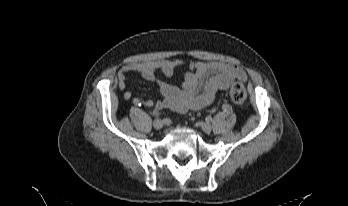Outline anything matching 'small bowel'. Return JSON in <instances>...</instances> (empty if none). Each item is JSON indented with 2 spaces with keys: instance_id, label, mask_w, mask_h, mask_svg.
I'll return each mask as SVG.
<instances>
[{
  "instance_id": "1",
  "label": "small bowel",
  "mask_w": 348,
  "mask_h": 206,
  "mask_svg": "<svg viewBox=\"0 0 348 206\" xmlns=\"http://www.w3.org/2000/svg\"><path fill=\"white\" fill-rule=\"evenodd\" d=\"M185 66L188 72L181 87L157 77L161 73L171 77L175 68ZM135 72L158 84L162 98L154 103L151 99L133 98L131 91L124 93L126 100L132 99L136 107H154L155 112L170 109L179 113L200 110L214 102L218 92L227 90L234 81H247L246 72L239 66L219 62H183L179 60H157L135 62L124 65L117 74L118 87H127V74Z\"/></svg>"
}]
</instances>
